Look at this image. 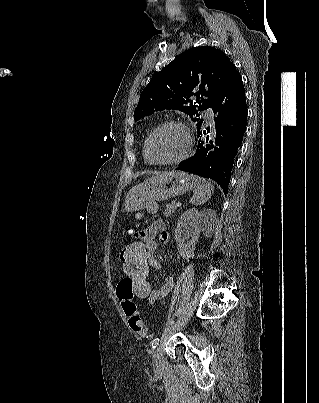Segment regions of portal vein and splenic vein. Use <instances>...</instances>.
Returning a JSON list of instances; mask_svg holds the SVG:
<instances>
[{"mask_svg": "<svg viewBox=\"0 0 319 403\" xmlns=\"http://www.w3.org/2000/svg\"><path fill=\"white\" fill-rule=\"evenodd\" d=\"M173 203H174L177 207L181 206V203H180V202H175V201H173Z\"/></svg>", "mask_w": 319, "mask_h": 403, "instance_id": "18ae733b", "label": "portal vein and splenic vein"}]
</instances>
